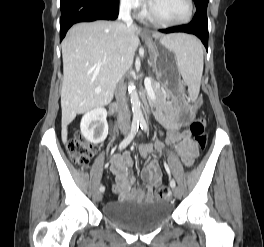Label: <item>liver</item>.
<instances>
[{"label": "liver", "mask_w": 264, "mask_h": 247, "mask_svg": "<svg viewBox=\"0 0 264 247\" xmlns=\"http://www.w3.org/2000/svg\"><path fill=\"white\" fill-rule=\"evenodd\" d=\"M141 30L121 22L78 23L62 42V141L77 114L108 105L117 81L131 68ZM178 34L154 38L171 40ZM96 91H99L97 93Z\"/></svg>", "instance_id": "6515ba94"}]
</instances>
